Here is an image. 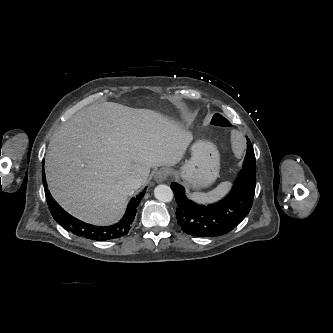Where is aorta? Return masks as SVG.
<instances>
[{"label":"aorta","instance_id":"762f6f07","mask_svg":"<svg viewBox=\"0 0 333 333\" xmlns=\"http://www.w3.org/2000/svg\"><path fill=\"white\" fill-rule=\"evenodd\" d=\"M154 196L161 202H170L173 199V191L165 184H161L155 187Z\"/></svg>","mask_w":333,"mask_h":333}]
</instances>
